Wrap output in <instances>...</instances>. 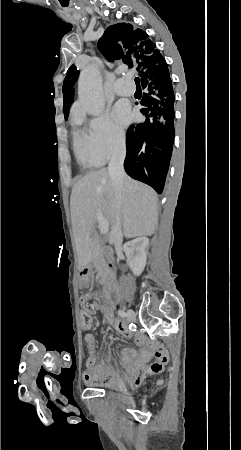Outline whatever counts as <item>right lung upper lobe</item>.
I'll list each match as a JSON object with an SVG mask.
<instances>
[{
    "mask_svg": "<svg viewBox=\"0 0 241 450\" xmlns=\"http://www.w3.org/2000/svg\"><path fill=\"white\" fill-rule=\"evenodd\" d=\"M98 46L109 61L120 59L138 72L145 65L149 67L165 61L148 38V34L141 29H133L131 24L118 23L109 26L100 38ZM78 74L79 71L72 65L66 77Z\"/></svg>",
    "mask_w": 241,
    "mask_h": 450,
    "instance_id": "cb5924a9",
    "label": "right lung upper lobe"
}]
</instances>
